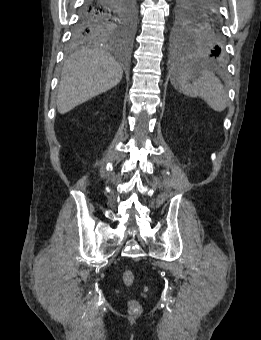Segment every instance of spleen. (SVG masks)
Wrapping results in <instances>:
<instances>
[{
	"mask_svg": "<svg viewBox=\"0 0 261 340\" xmlns=\"http://www.w3.org/2000/svg\"><path fill=\"white\" fill-rule=\"evenodd\" d=\"M180 65L184 70L179 76L172 77L174 87L187 96H199L216 112L224 111L228 105V94L220 79L194 62L184 60ZM194 73H198L197 79ZM189 79H192V84H188Z\"/></svg>",
	"mask_w": 261,
	"mask_h": 340,
	"instance_id": "1",
	"label": "spleen"
}]
</instances>
